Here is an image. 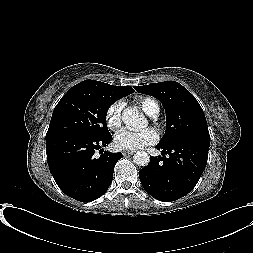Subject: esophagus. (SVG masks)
I'll use <instances>...</instances> for the list:
<instances>
[{
	"label": "esophagus",
	"mask_w": 253,
	"mask_h": 253,
	"mask_svg": "<svg viewBox=\"0 0 253 253\" xmlns=\"http://www.w3.org/2000/svg\"><path fill=\"white\" fill-rule=\"evenodd\" d=\"M124 156L133 155L135 151H123L122 152Z\"/></svg>",
	"instance_id": "1"
}]
</instances>
